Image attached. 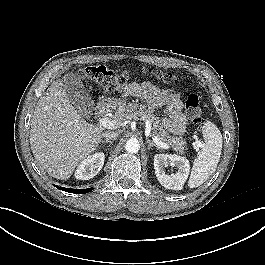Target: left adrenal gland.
<instances>
[{"label":"left adrenal gland","instance_id":"1","mask_svg":"<svg viewBox=\"0 0 265 265\" xmlns=\"http://www.w3.org/2000/svg\"><path fill=\"white\" fill-rule=\"evenodd\" d=\"M146 141L148 143V150L153 146L157 147V149H160V147L156 146L151 140L146 139Z\"/></svg>","mask_w":265,"mask_h":265}]
</instances>
